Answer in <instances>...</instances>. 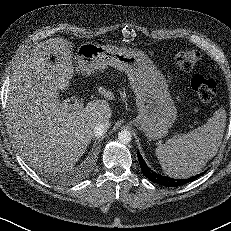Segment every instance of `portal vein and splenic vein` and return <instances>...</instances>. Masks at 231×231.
Here are the masks:
<instances>
[{"mask_svg":"<svg viewBox=\"0 0 231 231\" xmlns=\"http://www.w3.org/2000/svg\"><path fill=\"white\" fill-rule=\"evenodd\" d=\"M61 107L65 110L71 111V110H79L84 107V101L81 99H74L73 103H63Z\"/></svg>","mask_w":231,"mask_h":231,"instance_id":"obj_1","label":"portal vein and splenic vein"}]
</instances>
